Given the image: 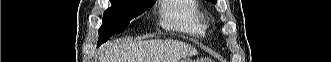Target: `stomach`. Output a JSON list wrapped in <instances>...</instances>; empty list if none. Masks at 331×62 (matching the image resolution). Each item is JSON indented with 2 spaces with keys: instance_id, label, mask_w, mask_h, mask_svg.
Instances as JSON below:
<instances>
[{
  "instance_id": "obj_1",
  "label": "stomach",
  "mask_w": 331,
  "mask_h": 62,
  "mask_svg": "<svg viewBox=\"0 0 331 62\" xmlns=\"http://www.w3.org/2000/svg\"><path fill=\"white\" fill-rule=\"evenodd\" d=\"M179 62H194V61H192V60H190V59H184V60H181V61H179Z\"/></svg>"
}]
</instances>
